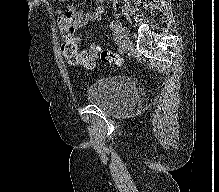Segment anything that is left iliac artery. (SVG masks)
Returning <instances> with one entry per match:
<instances>
[{
    "mask_svg": "<svg viewBox=\"0 0 219 192\" xmlns=\"http://www.w3.org/2000/svg\"><path fill=\"white\" fill-rule=\"evenodd\" d=\"M114 40H115L116 42H119V36H118V34H117V29H114Z\"/></svg>",
    "mask_w": 219,
    "mask_h": 192,
    "instance_id": "44dca946",
    "label": "left iliac artery"
}]
</instances>
